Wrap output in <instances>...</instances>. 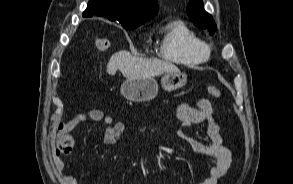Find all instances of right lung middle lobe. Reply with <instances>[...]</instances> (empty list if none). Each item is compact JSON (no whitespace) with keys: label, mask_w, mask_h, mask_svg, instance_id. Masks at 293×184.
<instances>
[{"label":"right lung middle lobe","mask_w":293,"mask_h":184,"mask_svg":"<svg viewBox=\"0 0 293 184\" xmlns=\"http://www.w3.org/2000/svg\"><path fill=\"white\" fill-rule=\"evenodd\" d=\"M142 24L144 23H128V24H123L122 26L125 28V29H128V30H133L139 26H141Z\"/></svg>","instance_id":"right-lung-middle-lobe-1"}]
</instances>
